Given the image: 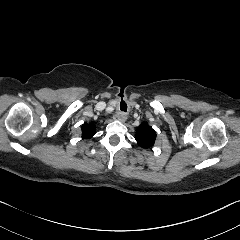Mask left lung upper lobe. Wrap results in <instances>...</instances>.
I'll return each mask as SVG.
<instances>
[{
    "mask_svg": "<svg viewBox=\"0 0 240 240\" xmlns=\"http://www.w3.org/2000/svg\"><path fill=\"white\" fill-rule=\"evenodd\" d=\"M135 139L140 147L150 148L155 143L156 133L148 123L145 122L137 129Z\"/></svg>",
    "mask_w": 240,
    "mask_h": 240,
    "instance_id": "1",
    "label": "left lung upper lobe"
}]
</instances>
